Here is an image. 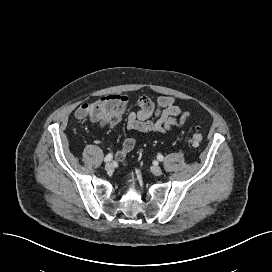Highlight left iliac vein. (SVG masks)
<instances>
[{"instance_id":"1","label":"left iliac vein","mask_w":272,"mask_h":272,"mask_svg":"<svg viewBox=\"0 0 272 272\" xmlns=\"http://www.w3.org/2000/svg\"><path fill=\"white\" fill-rule=\"evenodd\" d=\"M151 171L156 176H160L162 174V169L158 165L152 166Z\"/></svg>"}]
</instances>
